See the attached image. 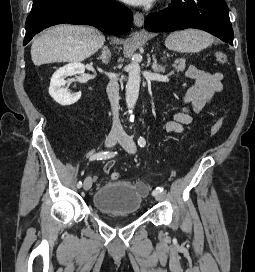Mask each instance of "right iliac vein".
<instances>
[{"label": "right iliac vein", "mask_w": 255, "mask_h": 272, "mask_svg": "<svg viewBox=\"0 0 255 272\" xmlns=\"http://www.w3.org/2000/svg\"><path fill=\"white\" fill-rule=\"evenodd\" d=\"M121 138V136H118L116 134H113V133H110L106 140H105V146L106 147H112L113 145L116 144L117 141H119ZM92 178L91 177H87L85 180H84V183H83V188L84 190H89L92 186Z\"/></svg>", "instance_id": "1"}]
</instances>
